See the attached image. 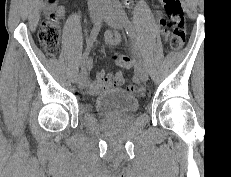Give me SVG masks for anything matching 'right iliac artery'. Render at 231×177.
I'll list each match as a JSON object with an SVG mask.
<instances>
[{
    "label": "right iliac artery",
    "instance_id": "82829eb1",
    "mask_svg": "<svg viewBox=\"0 0 231 177\" xmlns=\"http://www.w3.org/2000/svg\"><path fill=\"white\" fill-rule=\"evenodd\" d=\"M101 25H102V20L99 19L93 26L92 30H91V33H90V37L87 41V48L84 52V55L82 57V60L80 62V66H81V69H85V67L88 65V55H89V52L91 50V48L93 47V43L94 41L96 40L97 36H98V33L101 29Z\"/></svg>",
    "mask_w": 231,
    "mask_h": 177
}]
</instances>
